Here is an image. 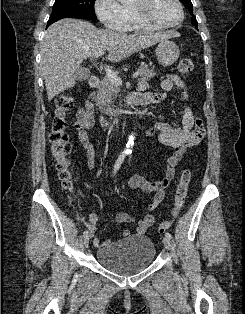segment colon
Instances as JSON below:
<instances>
[{
	"mask_svg": "<svg viewBox=\"0 0 245 314\" xmlns=\"http://www.w3.org/2000/svg\"><path fill=\"white\" fill-rule=\"evenodd\" d=\"M191 58L182 59L178 64V72L182 76L188 75L193 69ZM73 98L70 95L62 94L56 97L54 103V117L52 120L51 132L49 134L50 152L55 161L58 176L62 186L67 190H72L74 186L73 171L69 155L72 144L66 133L68 112L73 108ZM191 179V172L184 170L181 174L177 187L173 216L176 217L184 206L188 187ZM172 226V220H167L159 224L158 231L163 233Z\"/></svg>",
	"mask_w": 245,
	"mask_h": 314,
	"instance_id": "1",
	"label": "colon"
}]
</instances>
